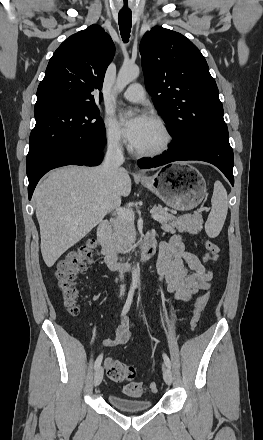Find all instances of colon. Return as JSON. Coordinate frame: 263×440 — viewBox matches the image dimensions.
Segmentation results:
<instances>
[{
    "label": "colon",
    "instance_id": "obj_1",
    "mask_svg": "<svg viewBox=\"0 0 263 440\" xmlns=\"http://www.w3.org/2000/svg\"><path fill=\"white\" fill-rule=\"evenodd\" d=\"M95 241L90 239L87 243L80 247L77 251L66 255L59 260L54 269V279L60 289L65 305L70 314L79 313L77 300L79 298V289L76 284L77 275L94 261ZM205 247L211 255L212 261H217L220 254L219 246L213 241L206 240ZM208 301V295L200 296L196 302L191 326L196 328L201 320L204 307ZM105 371L109 379L114 382H124L131 380L135 376V368L127 363L116 359L108 358L105 361ZM157 383L151 382L148 385L135 382L129 383L124 387V392L130 396H140L145 391L156 392Z\"/></svg>",
    "mask_w": 263,
    "mask_h": 440
}]
</instances>
